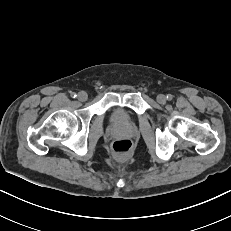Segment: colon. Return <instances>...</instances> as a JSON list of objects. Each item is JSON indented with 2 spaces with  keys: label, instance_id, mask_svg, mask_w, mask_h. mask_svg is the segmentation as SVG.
Returning <instances> with one entry per match:
<instances>
[{
  "label": "colon",
  "instance_id": "obj_1",
  "mask_svg": "<svg viewBox=\"0 0 231 231\" xmlns=\"http://www.w3.org/2000/svg\"><path fill=\"white\" fill-rule=\"evenodd\" d=\"M133 144L129 139H118L113 142L112 149L117 156L124 157L132 150Z\"/></svg>",
  "mask_w": 231,
  "mask_h": 231
}]
</instances>
